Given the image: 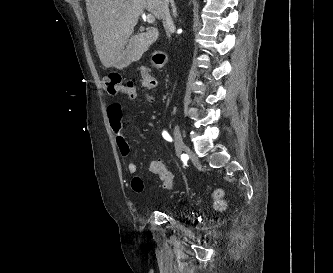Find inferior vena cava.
I'll list each match as a JSON object with an SVG mask.
<instances>
[{"label":"inferior vena cava","mask_w":333,"mask_h":273,"mask_svg":"<svg viewBox=\"0 0 333 273\" xmlns=\"http://www.w3.org/2000/svg\"><path fill=\"white\" fill-rule=\"evenodd\" d=\"M169 1L170 0H160V10L162 14V23L166 31L168 38L171 37L170 31L174 27L173 20L169 12Z\"/></svg>","instance_id":"inferior-vena-cava-1"}]
</instances>
